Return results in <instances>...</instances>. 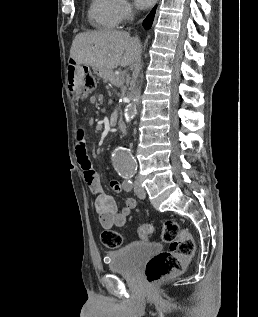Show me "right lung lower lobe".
Instances as JSON below:
<instances>
[{"label": "right lung lower lobe", "mask_w": 258, "mask_h": 317, "mask_svg": "<svg viewBox=\"0 0 258 317\" xmlns=\"http://www.w3.org/2000/svg\"><path fill=\"white\" fill-rule=\"evenodd\" d=\"M155 10H156V7L150 12V14L143 21V26L145 29H150L153 22L154 15H155Z\"/></svg>", "instance_id": "1"}]
</instances>
